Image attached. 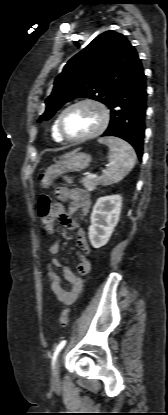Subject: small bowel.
Here are the masks:
<instances>
[{"mask_svg":"<svg viewBox=\"0 0 168 415\" xmlns=\"http://www.w3.org/2000/svg\"><path fill=\"white\" fill-rule=\"evenodd\" d=\"M55 195L60 201L70 202V213H74L80 210L83 215H87L90 211V197L88 193L82 189L60 187L56 188ZM54 206L56 210L54 219L59 217L61 223L64 226L76 231V243L81 252V260L78 263L77 270L79 275H85L90 270V263L85 258V255L90 253V246L87 241L85 232L79 227V225L72 219L69 214L64 212V209L60 204H54ZM44 231L48 234L53 235V223L47 230ZM59 249L60 242L57 238H54L50 243L49 251L51 254H57ZM56 268H60L62 270L64 279L69 282L70 288L68 290L62 286L61 278L55 271ZM46 277L53 294L57 300L64 305H70L74 303L83 289L82 278L73 273L72 270L68 266L64 265L58 258H52L47 263Z\"/></svg>","mask_w":168,"mask_h":415,"instance_id":"1","label":"small bowel"}]
</instances>
